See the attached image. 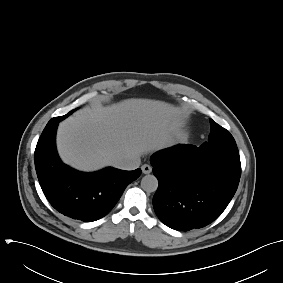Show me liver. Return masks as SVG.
<instances>
[{"label": "liver", "instance_id": "6515ba94", "mask_svg": "<svg viewBox=\"0 0 283 283\" xmlns=\"http://www.w3.org/2000/svg\"><path fill=\"white\" fill-rule=\"evenodd\" d=\"M179 125V111L172 105L127 99L83 110L61 122L57 148L66 164L95 171L161 147Z\"/></svg>", "mask_w": 283, "mask_h": 283}]
</instances>
